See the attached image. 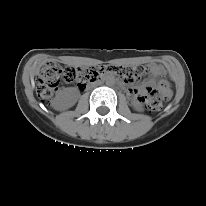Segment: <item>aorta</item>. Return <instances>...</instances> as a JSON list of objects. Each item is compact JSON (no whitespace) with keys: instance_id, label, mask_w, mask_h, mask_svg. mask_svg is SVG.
<instances>
[{"instance_id":"obj_1","label":"aorta","mask_w":206,"mask_h":206,"mask_svg":"<svg viewBox=\"0 0 206 206\" xmlns=\"http://www.w3.org/2000/svg\"><path fill=\"white\" fill-rule=\"evenodd\" d=\"M106 84H107V85H112V84H113V81L109 79V80L106 81Z\"/></svg>"}]
</instances>
